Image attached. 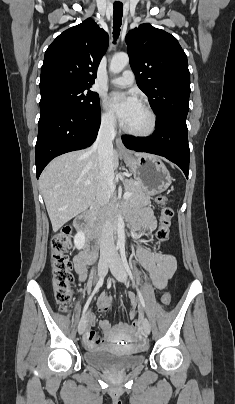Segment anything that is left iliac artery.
I'll return each instance as SVG.
<instances>
[{
	"mask_svg": "<svg viewBox=\"0 0 235 404\" xmlns=\"http://www.w3.org/2000/svg\"><path fill=\"white\" fill-rule=\"evenodd\" d=\"M120 254H121V257H122V261H123V265H124V267H125V270H126L127 274L129 275L130 279L132 280L133 285H134V286L136 287V289H137V293H138V297H139V303H140V305H141L143 308H145V303H144V299H143L142 293H141V291L139 290V288L136 286L135 280H134V276H133V274H132V272H131V269H130V267H129V265H128V262H127V259H126V255H125V248H124V247H121V249H120Z\"/></svg>",
	"mask_w": 235,
	"mask_h": 404,
	"instance_id": "1",
	"label": "left iliac artery"
}]
</instances>
